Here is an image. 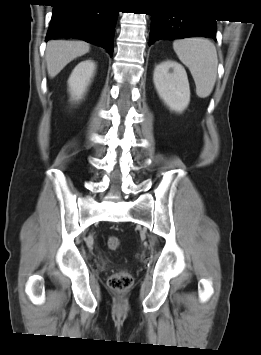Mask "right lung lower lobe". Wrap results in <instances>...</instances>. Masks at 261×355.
<instances>
[{"label": "right lung lower lobe", "mask_w": 261, "mask_h": 355, "mask_svg": "<svg viewBox=\"0 0 261 355\" xmlns=\"http://www.w3.org/2000/svg\"><path fill=\"white\" fill-rule=\"evenodd\" d=\"M103 0H55L46 41L79 38L105 48L112 56L118 12Z\"/></svg>", "instance_id": "obj_1"}]
</instances>
